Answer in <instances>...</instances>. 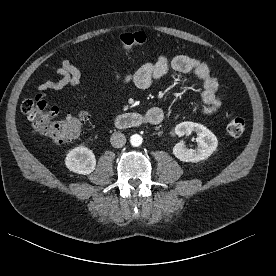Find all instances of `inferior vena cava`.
<instances>
[{
	"mask_svg": "<svg viewBox=\"0 0 276 276\" xmlns=\"http://www.w3.org/2000/svg\"><path fill=\"white\" fill-rule=\"evenodd\" d=\"M111 145L115 148H121L126 143V137L121 132H114L110 138Z\"/></svg>",
	"mask_w": 276,
	"mask_h": 276,
	"instance_id": "602c4592",
	"label": "inferior vena cava"
}]
</instances>
